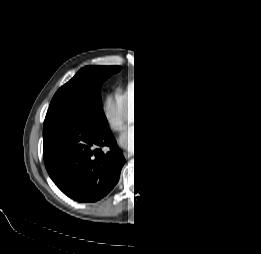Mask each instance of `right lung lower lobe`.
<instances>
[{
    "mask_svg": "<svg viewBox=\"0 0 261 254\" xmlns=\"http://www.w3.org/2000/svg\"><path fill=\"white\" fill-rule=\"evenodd\" d=\"M47 172L59 189L80 202L103 198L125 163L109 128H98L73 112H47L43 127ZM109 147L107 153L102 148Z\"/></svg>",
    "mask_w": 261,
    "mask_h": 254,
    "instance_id": "obj_1",
    "label": "right lung lower lobe"
}]
</instances>
